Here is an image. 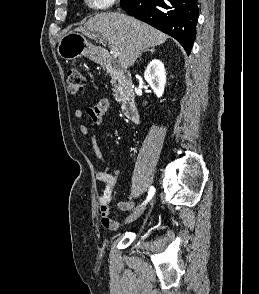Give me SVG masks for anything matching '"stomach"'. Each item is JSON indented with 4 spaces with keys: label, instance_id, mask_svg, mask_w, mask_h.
I'll list each match as a JSON object with an SVG mask.
<instances>
[{
    "label": "stomach",
    "instance_id": "0dacf381",
    "mask_svg": "<svg viewBox=\"0 0 259 294\" xmlns=\"http://www.w3.org/2000/svg\"><path fill=\"white\" fill-rule=\"evenodd\" d=\"M58 54L66 60H74L81 56L94 58L91 44L77 30L69 31L59 41Z\"/></svg>",
    "mask_w": 259,
    "mask_h": 294
}]
</instances>
